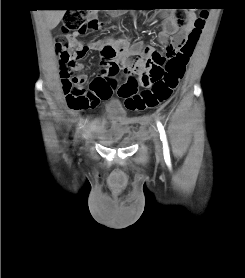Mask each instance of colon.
Masks as SVG:
<instances>
[{"mask_svg": "<svg viewBox=\"0 0 245 278\" xmlns=\"http://www.w3.org/2000/svg\"><path fill=\"white\" fill-rule=\"evenodd\" d=\"M196 8L200 7L193 6L192 9ZM207 16V11L201 9L199 16L194 20L193 30L180 44L178 53L169 57L157 54L155 62L152 65H146L141 79L143 83L150 86L149 88L139 92L137 79L134 76L125 78L119 86L112 76L109 77L111 91H116L117 95L125 100L127 109L140 112L166 104L171 99L185 75L187 64ZM99 25L96 18H87L84 11H70L62 22L63 35L56 42V50L61 58L60 68L62 80L65 82V102L72 111L94 108L97 106L98 99L94 83L86 85L84 77L73 76L69 70V66L87 51V46L68 41L66 35L78 31H95Z\"/></svg>", "mask_w": 245, "mask_h": 278, "instance_id": "1", "label": "colon"}]
</instances>
